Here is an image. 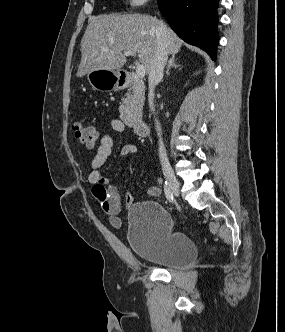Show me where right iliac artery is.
Masks as SVG:
<instances>
[{
  "mask_svg": "<svg viewBox=\"0 0 285 332\" xmlns=\"http://www.w3.org/2000/svg\"><path fill=\"white\" fill-rule=\"evenodd\" d=\"M164 193H165L166 198L169 200V202H173V193L171 192V189L169 187L167 180H165V182H164Z\"/></svg>",
  "mask_w": 285,
  "mask_h": 332,
  "instance_id": "obj_1",
  "label": "right iliac artery"
}]
</instances>
